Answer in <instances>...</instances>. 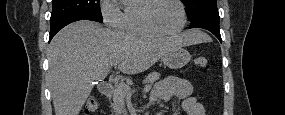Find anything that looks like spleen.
Wrapping results in <instances>:
<instances>
[{"instance_id":"1","label":"spleen","mask_w":285,"mask_h":115,"mask_svg":"<svg viewBox=\"0 0 285 115\" xmlns=\"http://www.w3.org/2000/svg\"><path fill=\"white\" fill-rule=\"evenodd\" d=\"M209 38L206 34H204L203 32H200V40L202 41H207Z\"/></svg>"}]
</instances>
